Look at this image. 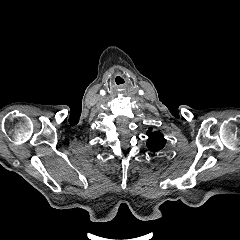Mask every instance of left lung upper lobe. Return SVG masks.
<instances>
[{
  "label": "left lung upper lobe",
  "mask_w": 240,
  "mask_h": 240,
  "mask_svg": "<svg viewBox=\"0 0 240 240\" xmlns=\"http://www.w3.org/2000/svg\"><path fill=\"white\" fill-rule=\"evenodd\" d=\"M148 140L147 147L152 152H159L163 149L166 143V139H164L163 134L159 131L152 132V129H148L147 131Z\"/></svg>",
  "instance_id": "5c2ea615"
}]
</instances>
